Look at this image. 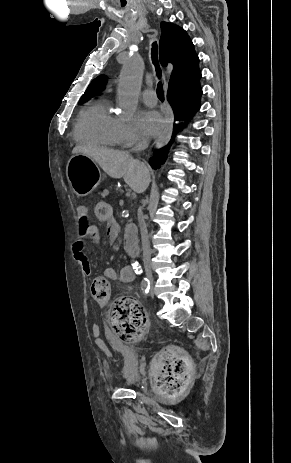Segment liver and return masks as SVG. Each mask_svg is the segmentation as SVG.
<instances>
[{
	"label": "liver",
	"mask_w": 291,
	"mask_h": 463,
	"mask_svg": "<svg viewBox=\"0 0 291 463\" xmlns=\"http://www.w3.org/2000/svg\"><path fill=\"white\" fill-rule=\"evenodd\" d=\"M73 154H83L90 157L112 178H123L129 187L142 193L150 182L149 168L137 159H133L128 152L107 148H97L78 145L72 150Z\"/></svg>",
	"instance_id": "liver-1"
}]
</instances>
